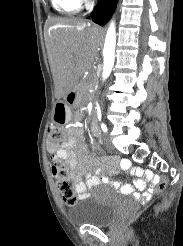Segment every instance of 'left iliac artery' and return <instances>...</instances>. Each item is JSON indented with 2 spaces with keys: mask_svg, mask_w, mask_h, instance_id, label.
<instances>
[{
  "mask_svg": "<svg viewBox=\"0 0 183 246\" xmlns=\"http://www.w3.org/2000/svg\"><path fill=\"white\" fill-rule=\"evenodd\" d=\"M101 129L103 132H107V126L104 123L101 124Z\"/></svg>",
  "mask_w": 183,
  "mask_h": 246,
  "instance_id": "obj_1",
  "label": "left iliac artery"
}]
</instances>
